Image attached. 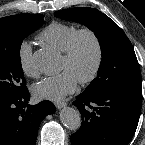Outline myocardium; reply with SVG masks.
Wrapping results in <instances>:
<instances>
[{"instance_id":"myocardium-1","label":"myocardium","mask_w":145,"mask_h":145,"mask_svg":"<svg viewBox=\"0 0 145 145\" xmlns=\"http://www.w3.org/2000/svg\"><path fill=\"white\" fill-rule=\"evenodd\" d=\"M83 36H87L91 39L95 49V61L92 70L87 76L79 80L80 84L86 85L93 82L97 78L104 59L103 46L97 33L91 28L78 29L71 38L67 49L63 52L62 58L67 62L73 60L77 52L79 41Z\"/></svg>"}]
</instances>
